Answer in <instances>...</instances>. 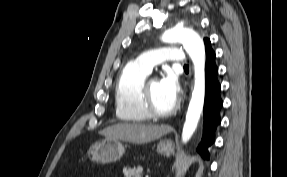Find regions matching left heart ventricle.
<instances>
[{
  "mask_svg": "<svg viewBox=\"0 0 287 177\" xmlns=\"http://www.w3.org/2000/svg\"><path fill=\"white\" fill-rule=\"evenodd\" d=\"M150 92L153 103L159 111H168L171 109L175 101H173L162 89L161 83L158 80H153L149 83Z\"/></svg>",
  "mask_w": 287,
  "mask_h": 177,
  "instance_id": "obj_1",
  "label": "left heart ventricle"
}]
</instances>
